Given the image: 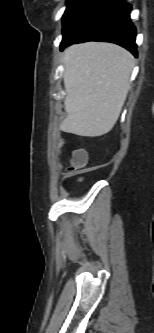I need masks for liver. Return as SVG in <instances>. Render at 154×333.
Segmentation results:
<instances>
[{
	"label": "liver",
	"mask_w": 154,
	"mask_h": 333,
	"mask_svg": "<svg viewBox=\"0 0 154 333\" xmlns=\"http://www.w3.org/2000/svg\"><path fill=\"white\" fill-rule=\"evenodd\" d=\"M63 63L67 117L60 129L84 137L111 131L130 88L134 57L115 44L88 42L68 47Z\"/></svg>",
	"instance_id": "liver-1"
}]
</instances>
